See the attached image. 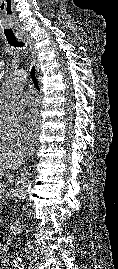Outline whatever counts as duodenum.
<instances>
[{"label":"duodenum","mask_w":118,"mask_h":269,"mask_svg":"<svg viewBox=\"0 0 118 269\" xmlns=\"http://www.w3.org/2000/svg\"><path fill=\"white\" fill-rule=\"evenodd\" d=\"M22 229V223L20 221H12L8 224V234L15 235Z\"/></svg>","instance_id":"obj_1"}]
</instances>
